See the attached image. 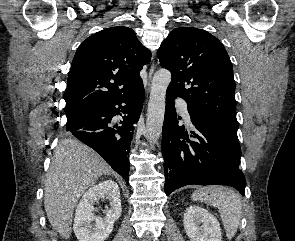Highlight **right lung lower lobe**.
Instances as JSON below:
<instances>
[{
    "label": "right lung lower lobe",
    "instance_id": "obj_1",
    "mask_svg": "<svg viewBox=\"0 0 295 241\" xmlns=\"http://www.w3.org/2000/svg\"><path fill=\"white\" fill-rule=\"evenodd\" d=\"M143 84L128 94L90 104L67 116L66 131L98 152L128 183L133 124L140 116ZM118 123L115 115H122Z\"/></svg>",
    "mask_w": 295,
    "mask_h": 241
}]
</instances>
